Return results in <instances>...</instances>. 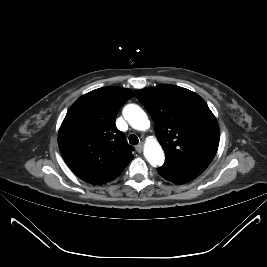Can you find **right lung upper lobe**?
<instances>
[{
  "mask_svg": "<svg viewBox=\"0 0 267 267\" xmlns=\"http://www.w3.org/2000/svg\"><path fill=\"white\" fill-rule=\"evenodd\" d=\"M134 93L130 89L103 87L77 99L59 130L60 152L82 180L102 185L118 177L133 158L124 134L116 128L119 108Z\"/></svg>",
  "mask_w": 267,
  "mask_h": 267,
  "instance_id": "obj_1",
  "label": "right lung upper lobe"
}]
</instances>
